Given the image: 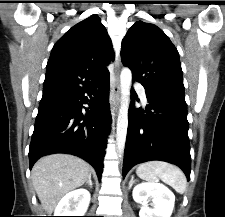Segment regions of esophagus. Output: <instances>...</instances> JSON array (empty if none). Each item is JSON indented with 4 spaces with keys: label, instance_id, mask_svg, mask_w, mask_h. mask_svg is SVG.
<instances>
[{
    "label": "esophagus",
    "instance_id": "esophagus-1",
    "mask_svg": "<svg viewBox=\"0 0 225 217\" xmlns=\"http://www.w3.org/2000/svg\"><path fill=\"white\" fill-rule=\"evenodd\" d=\"M110 108L113 115L117 111L120 102L119 63L115 64L114 77L111 82Z\"/></svg>",
    "mask_w": 225,
    "mask_h": 217
}]
</instances>
